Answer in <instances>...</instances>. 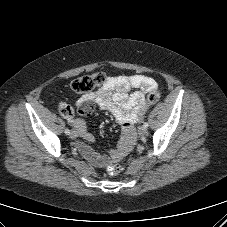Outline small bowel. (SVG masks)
<instances>
[{
  "instance_id": "obj_1",
  "label": "small bowel",
  "mask_w": 227,
  "mask_h": 227,
  "mask_svg": "<svg viewBox=\"0 0 227 227\" xmlns=\"http://www.w3.org/2000/svg\"><path fill=\"white\" fill-rule=\"evenodd\" d=\"M135 89L134 92L131 90ZM157 89V82L149 76L117 75L108 77L106 82L94 93L79 98V115H91L96 105L110 112L122 127L116 149L100 154L92 149L93 135L87 129L86 121L79 115L68 117L83 142L77 143L82 155L95 166H105L110 160H119L128 154L135 140L134 125L143 117L146 95Z\"/></svg>"
}]
</instances>
